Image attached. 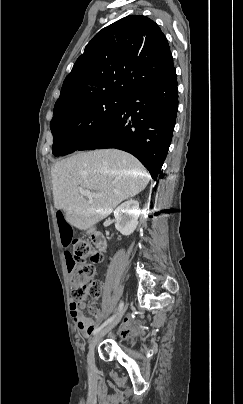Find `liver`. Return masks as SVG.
<instances>
[{
  "label": "liver",
  "instance_id": "6515ba94",
  "mask_svg": "<svg viewBox=\"0 0 243 404\" xmlns=\"http://www.w3.org/2000/svg\"><path fill=\"white\" fill-rule=\"evenodd\" d=\"M51 178L55 208L78 230H89L107 218L118 204L145 190L150 180L142 164L120 150L78 152L53 164ZM80 188L101 196L86 200Z\"/></svg>",
  "mask_w": 243,
  "mask_h": 404
}]
</instances>
